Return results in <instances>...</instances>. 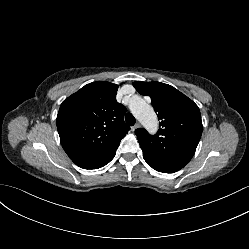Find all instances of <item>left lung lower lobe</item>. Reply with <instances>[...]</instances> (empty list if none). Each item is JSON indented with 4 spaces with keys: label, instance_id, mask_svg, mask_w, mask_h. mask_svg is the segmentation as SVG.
<instances>
[{
    "label": "left lung lower lobe",
    "instance_id": "left-lung-lower-lobe-1",
    "mask_svg": "<svg viewBox=\"0 0 249 249\" xmlns=\"http://www.w3.org/2000/svg\"><path fill=\"white\" fill-rule=\"evenodd\" d=\"M146 162L156 171L163 172V173H174L181 169L176 166L164 165V164H159V163L150 162V161H146Z\"/></svg>",
    "mask_w": 249,
    "mask_h": 249
}]
</instances>
